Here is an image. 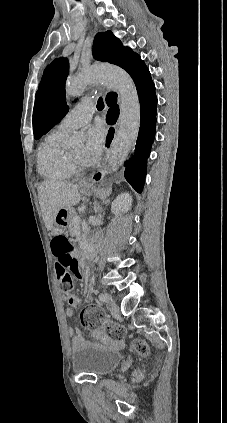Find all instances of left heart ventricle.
<instances>
[{
  "label": "left heart ventricle",
  "mask_w": 227,
  "mask_h": 423,
  "mask_svg": "<svg viewBox=\"0 0 227 423\" xmlns=\"http://www.w3.org/2000/svg\"><path fill=\"white\" fill-rule=\"evenodd\" d=\"M72 151V153L76 156V157H78L79 159H81L82 160V157H83V152H84V147H83V145H80V146H78V147H76V148H74L73 150H71Z\"/></svg>",
  "instance_id": "b2bd125f"
}]
</instances>
